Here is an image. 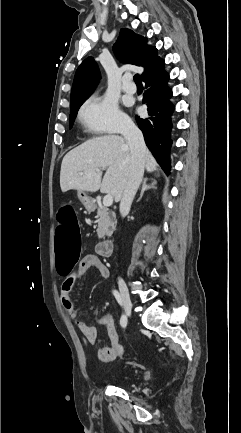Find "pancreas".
<instances>
[{
  "label": "pancreas",
  "instance_id": "1",
  "mask_svg": "<svg viewBox=\"0 0 241 433\" xmlns=\"http://www.w3.org/2000/svg\"><path fill=\"white\" fill-rule=\"evenodd\" d=\"M114 213L111 212L108 208L101 206L97 210V235L98 238L104 239L105 236H109L113 233L114 230Z\"/></svg>",
  "mask_w": 241,
  "mask_h": 433
}]
</instances>
